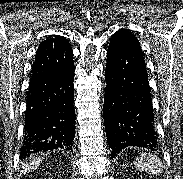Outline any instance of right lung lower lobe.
<instances>
[{"mask_svg":"<svg viewBox=\"0 0 183 179\" xmlns=\"http://www.w3.org/2000/svg\"><path fill=\"white\" fill-rule=\"evenodd\" d=\"M73 80L74 69L31 77L21 158L54 149L72 152L76 119Z\"/></svg>","mask_w":183,"mask_h":179,"instance_id":"1","label":"right lung lower lobe"}]
</instances>
